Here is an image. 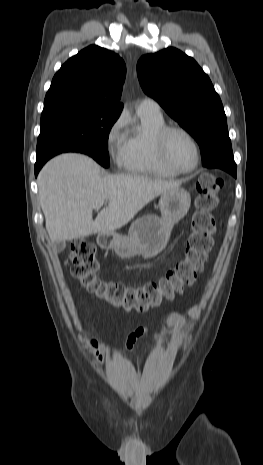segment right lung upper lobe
I'll list each match as a JSON object with an SVG mask.
<instances>
[{"label": "right lung upper lobe", "mask_w": 263, "mask_h": 465, "mask_svg": "<svg viewBox=\"0 0 263 465\" xmlns=\"http://www.w3.org/2000/svg\"><path fill=\"white\" fill-rule=\"evenodd\" d=\"M124 61L114 52L91 45L71 57L55 74L44 105L79 103L122 110Z\"/></svg>", "instance_id": "obj_1"}]
</instances>
